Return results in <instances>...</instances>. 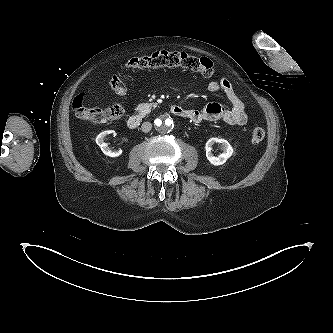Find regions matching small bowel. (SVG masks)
I'll list each match as a JSON object with an SVG mask.
<instances>
[{"mask_svg": "<svg viewBox=\"0 0 333 333\" xmlns=\"http://www.w3.org/2000/svg\"><path fill=\"white\" fill-rule=\"evenodd\" d=\"M208 90L210 92H222L226 96L230 108L226 109L223 105L212 102L202 109H185V118L195 123L222 121L234 126H243L246 124L247 114L244 104L235 93L231 82L227 78L209 82Z\"/></svg>", "mask_w": 333, "mask_h": 333, "instance_id": "c3829d8e", "label": "small bowel"}]
</instances>
